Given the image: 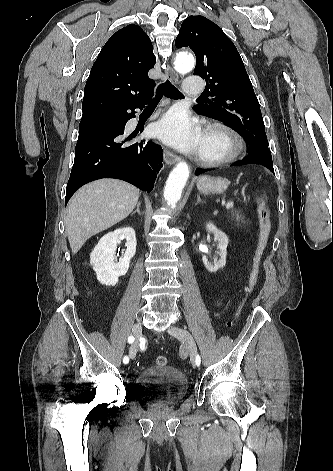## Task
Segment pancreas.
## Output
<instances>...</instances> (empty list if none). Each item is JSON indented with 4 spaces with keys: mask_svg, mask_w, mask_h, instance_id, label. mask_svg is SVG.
I'll list each match as a JSON object with an SVG mask.
<instances>
[{
    "mask_svg": "<svg viewBox=\"0 0 333 471\" xmlns=\"http://www.w3.org/2000/svg\"><path fill=\"white\" fill-rule=\"evenodd\" d=\"M231 218L237 223H245L244 216L238 211L231 210Z\"/></svg>",
    "mask_w": 333,
    "mask_h": 471,
    "instance_id": "1",
    "label": "pancreas"
}]
</instances>
